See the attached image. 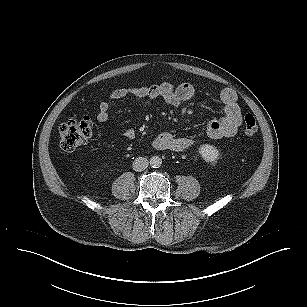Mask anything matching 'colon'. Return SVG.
I'll return each instance as SVG.
<instances>
[{"mask_svg": "<svg viewBox=\"0 0 307 307\" xmlns=\"http://www.w3.org/2000/svg\"><path fill=\"white\" fill-rule=\"evenodd\" d=\"M244 132L253 136L258 131L256 119L251 114L244 116ZM93 122L88 117H71L60 127V149L63 152H71L85 144L91 137Z\"/></svg>", "mask_w": 307, "mask_h": 307, "instance_id": "colon-1", "label": "colon"}]
</instances>
